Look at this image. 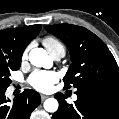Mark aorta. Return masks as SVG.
<instances>
[{"label":"aorta","mask_w":119,"mask_h":119,"mask_svg":"<svg viewBox=\"0 0 119 119\" xmlns=\"http://www.w3.org/2000/svg\"><path fill=\"white\" fill-rule=\"evenodd\" d=\"M29 61L36 67L50 68L52 60L43 48H34L29 53ZM58 101L55 98H48L44 102V109L47 112H56L58 109Z\"/></svg>","instance_id":"aorta-1"}]
</instances>
